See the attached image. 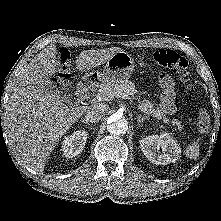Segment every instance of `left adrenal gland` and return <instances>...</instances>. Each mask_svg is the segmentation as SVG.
<instances>
[{"label":"left adrenal gland","mask_w":221,"mask_h":221,"mask_svg":"<svg viewBox=\"0 0 221 221\" xmlns=\"http://www.w3.org/2000/svg\"><path fill=\"white\" fill-rule=\"evenodd\" d=\"M136 119H137L138 125L141 126L143 124V121L148 119V117L138 115Z\"/></svg>","instance_id":"left-adrenal-gland-1"}]
</instances>
